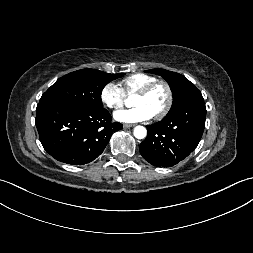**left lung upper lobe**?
Returning a JSON list of instances; mask_svg holds the SVG:
<instances>
[{
  "mask_svg": "<svg viewBox=\"0 0 253 253\" xmlns=\"http://www.w3.org/2000/svg\"><path fill=\"white\" fill-rule=\"evenodd\" d=\"M145 72L158 74L169 84L173 94V104L168 114L180 107L192 92L198 90L186 77L181 74L165 69H151L146 70Z\"/></svg>",
  "mask_w": 253,
  "mask_h": 253,
  "instance_id": "5c2ea615",
  "label": "left lung upper lobe"
}]
</instances>
